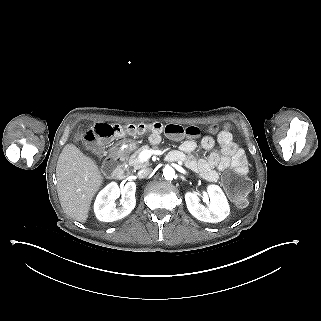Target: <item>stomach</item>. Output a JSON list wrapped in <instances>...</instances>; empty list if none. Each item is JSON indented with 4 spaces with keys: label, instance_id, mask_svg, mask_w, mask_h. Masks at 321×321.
<instances>
[{
    "label": "stomach",
    "instance_id": "stomach-1",
    "mask_svg": "<svg viewBox=\"0 0 321 321\" xmlns=\"http://www.w3.org/2000/svg\"><path fill=\"white\" fill-rule=\"evenodd\" d=\"M124 143H126V144H127V143H128V141H120V142H118V143L115 145V147H116V146H118V145L124 144Z\"/></svg>",
    "mask_w": 321,
    "mask_h": 321
}]
</instances>
